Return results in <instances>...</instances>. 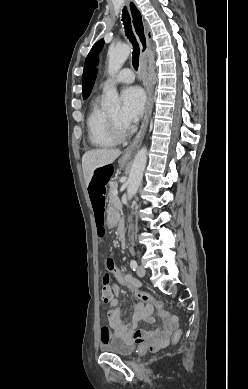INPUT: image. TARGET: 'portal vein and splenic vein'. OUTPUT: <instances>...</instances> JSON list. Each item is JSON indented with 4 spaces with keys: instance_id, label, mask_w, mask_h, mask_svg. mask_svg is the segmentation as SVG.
<instances>
[{
    "instance_id": "18ae733b",
    "label": "portal vein and splenic vein",
    "mask_w": 248,
    "mask_h": 389,
    "mask_svg": "<svg viewBox=\"0 0 248 389\" xmlns=\"http://www.w3.org/2000/svg\"><path fill=\"white\" fill-rule=\"evenodd\" d=\"M114 194L117 195V194H118V191H115Z\"/></svg>"
}]
</instances>
